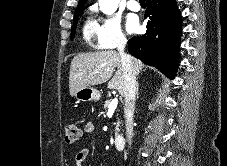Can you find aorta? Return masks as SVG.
Listing matches in <instances>:
<instances>
[{
	"label": "aorta",
	"mask_w": 227,
	"mask_h": 166,
	"mask_svg": "<svg viewBox=\"0 0 227 166\" xmlns=\"http://www.w3.org/2000/svg\"><path fill=\"white\" fill-rule=\"evenodd\" d=\"M98 2L102 12L108 15L113 14L119 4V0H98Z\"/></svg>",
	"instance_id": "1"
}]
</instances>
